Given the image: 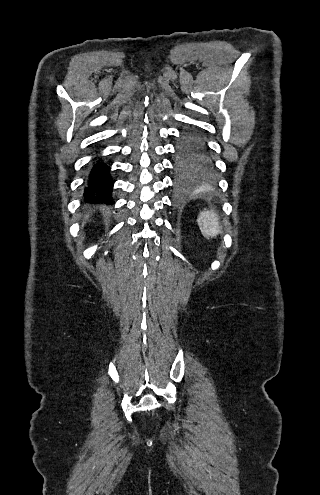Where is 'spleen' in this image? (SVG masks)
<instances>
[{
	"instance_id": "obj_1",
	"label": "spleen",
	"mask_w": 320,
	"mask_h": 495,
	"mask_svg": "<svg viewBox=\"0 0 320 495\" xmlns=\"http://www.w3.org/2000/svg\"><path fill=\"white\" fill-rule=\"evenodd\" d=\"M197 222L203 236L208 240L216 237L221 232L219 218L214 211L200 212Z\"/></svg>"
}]
</instances>
